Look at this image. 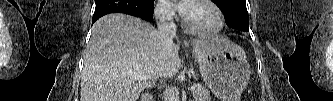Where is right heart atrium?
<instances>
[{"label":"right heart atrium","mask_w":333,"mask_h":101,"mask_svg":"<svg viewBox=\"0 0 333 101\" xmlns=\"http://www.w3.org/2000/svg\"><path fill=\"white\" fill-rule=\"evenodd\" d=\"M155 16L162 23H168L174 18V10L167 1L161 0L155 7Z\"/></svg>","instance_id":"obj_1"}]
</instances>
